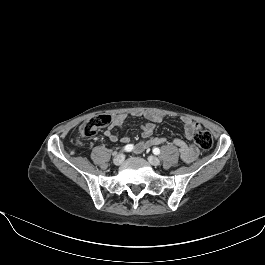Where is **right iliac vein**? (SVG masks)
<instances>
[{"label": "right iliac vein", "instance_id": "63e3f726", "mask_svg": "<svg viewBox=\"0 0 265 265\" xmlns=\"http://www.w3.org/2000/svg\"><path fill=\"white\" fill-rule=\"evenodd\" d=\"M125 159V156L123 154H118L114 157L113 163L115 165H121Z\"/></svg>", "mask_w": 265, "mask_h": 265}]
</instances>
